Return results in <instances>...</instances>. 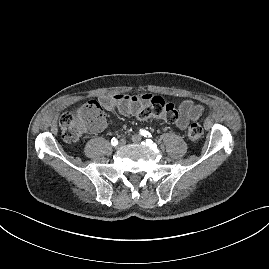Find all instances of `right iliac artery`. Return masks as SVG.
Wrapping results in <instances>:
<instances>
[{"label":"right iliac artery","mask_w":269,"mask_h":269,"mask_svg":"<svg viewBox=\"0 0 269 269\" xmlns=\"http://www.w3.org/2000/svg\"><path fill=\"white\" fill-rule=\"evenodd\" d=\"M117 142H118V141H117L116 138H112V140H111V144H112L113 146H115Z\"/></svg>","instance_id":"1"}]
</instances>
